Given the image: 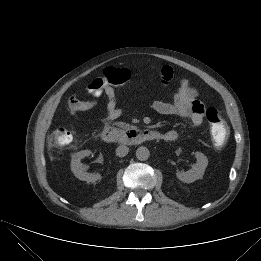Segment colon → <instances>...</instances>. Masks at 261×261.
Instances as JSON below:
<instances>
[{
  "mask_svg": "<svg viewBox=\"0 0 261 261\" xmlns=\"http://www.w3.org/2000/svg\"><path fill=\"white\" fill-rule=\"evenodd\" d=\"M131 77L128 69L107 68L101 77L94 79L87 87L89 93L94 96L102 94L105 85L122 86ZM206 119L210 126V134L214 144L217 147H222L229 135L228 126L215 107H210L206 110ZM73 139V133L64 127H57L50 138V142L55 145H67Z\"/></svg>",
  "mask_w": 261,
  "mask_h": 261,
  "instance_id": "colon-1",
  "label": "colon"
}]
</instances>
